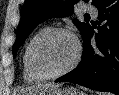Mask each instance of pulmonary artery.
Here are the masks:
<instances>
[{"label":"pulmonary artery","mask_w":119,"mask_h":95,"mask_svg":"<svg viewBox=\"0 0 119 95\" xmlns=\"http://www.w3.org/2000/svg\"><path fill=\"white\" fill-rule=\"evenodd\" d=\"M87 10H88L91 14H93V15H96V14H97L96 9L93 8V7H88Z\"/></svg>","instance_id":"e3ab8cb5"}]
</instances>
